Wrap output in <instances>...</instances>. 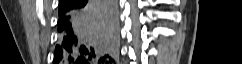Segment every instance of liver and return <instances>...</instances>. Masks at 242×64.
<instances>
[{"mask_svg": "<svg viewBox=\"0 0 242 64\" xmlns=\"http://www.w3.org/2000/svg\"><path fill=\"white\" fill-rule=\"evenodd\" d=\"M98 25H99V24H98ZM99 28H100L101 31H105L104 29H102V28L100 27V25H99Z\"/></svg>", "mask_w": 242, "mask_h": 64, "instance_id": "6515ba94", "label": "liver"}]
</instances>
